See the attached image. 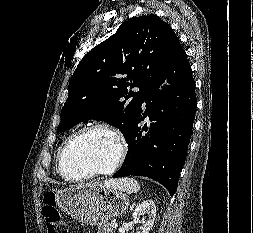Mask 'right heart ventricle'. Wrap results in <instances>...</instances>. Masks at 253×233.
Here are the masks:
<instances>
[{"label":"right heart ventricle","instance_id":"e07e8e85","mask_svg":"<svg viewBox=\"0 0 253 233\" xmlns=\"http://www.w3.org/2000/svg\"><path fill=\"white\" fill-rule=\"evenodd\" d=\"M61 148H62V147H61ZM61 148H59L58 153H57V161H58V156H59V153H60Z\"/></svg>","mask_w":253,"mask_h":233}]
</instances>
